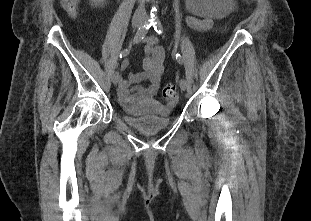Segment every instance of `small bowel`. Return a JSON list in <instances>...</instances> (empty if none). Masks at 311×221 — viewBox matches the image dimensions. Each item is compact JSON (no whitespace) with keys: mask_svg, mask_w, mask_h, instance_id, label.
Returning <instances> with one entry per match:
<instances>
[{"mask_svg":"<svg viewBox=\"0 0 311 221\" xmlns=\"http://www.w3.org/2000/svg\"><path fill=\"white\" fill-rule=\"evenodd\" d=\"M186 23L195 31H207L211 28V18H199L195 16L186 17ZM145 58L142 63V70L130 73L127 79L120 83V96L123 100L130 98V89L134 86L141 97L151 98L158 92L161 76L164 71L166 50L157 44L156 39L149 37L144 44ZM146 83V85H142Z\"/></svg>","mask_w":311,"mask_h":221,"instance_id":"small-bowel-1","label":"small bowel"}]
</instances>
